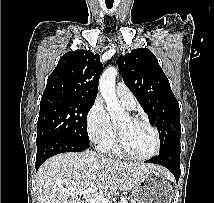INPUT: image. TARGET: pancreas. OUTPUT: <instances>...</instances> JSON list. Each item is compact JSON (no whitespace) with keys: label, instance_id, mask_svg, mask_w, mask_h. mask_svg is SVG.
<instances>
[{"label":"pancreas","instance_id":"obj_1","mask_svg":"<svg viewBox=\"0 0 214 203\" xmlns=\"http://www.w3.org/2000/svg\"><path fill=\"white\" fill-rule=\"evenodd\" d=\"M126 203H136V200L135 199H129V200H127Z\"/></svg>","mask_w":214,"mask_h":203}]
</instances>
